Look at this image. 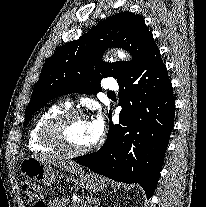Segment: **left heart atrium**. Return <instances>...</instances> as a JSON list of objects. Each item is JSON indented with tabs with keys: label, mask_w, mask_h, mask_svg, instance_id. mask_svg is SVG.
<instances>
[{
	"label": "left heart atrium",
	"mask_w": 206,
	"mask_h": 207,
	"mask_svg": "<svg viewBox=\"0 0 206 207\" xmlns=\"http://www.w3.org/2000/svg\"><path fill=\"white\" fill-rule=\"evenodd\" d=\"M90 125V134L92 143L98 141L104 133L105 130V120L101 113L96 114L91 121Z\"/></svg>",
	"instance_id": "39dd6f15"
}]
</instances>
